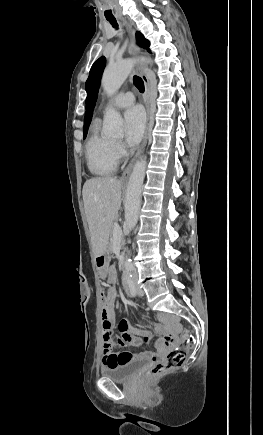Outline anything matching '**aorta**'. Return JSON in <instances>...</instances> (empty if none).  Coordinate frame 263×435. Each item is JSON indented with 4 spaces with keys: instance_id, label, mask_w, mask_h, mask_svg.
Wrapping results in <instances>:
<instances>
[{
    "instance_id": "obj_1",
    "label": "aorta",
    "mask_w": 263,
    "mask_h": 435,
    "mask_svg": "<svg viewBox=\"0 0 263 435\" xmlns=\"http://www.w3.org/2000/svg\"><path fill=\"white\" fill-rule=\"evenodd\" d=\"M147 63L149 59H144ZM135 61L133 59H125L113 66L105 69L101 84L103 89L109 94L113 95L121 87L128 75L131 73ZM103 132L107 136H122L123 135V120L120 114L114 109H108L106 111L103 123ZM146 157L140 158V160L134 165L132 173L129 177L126 200H125V226L128 230H132L138 221L141 192L143 187V181L146 170ZM126 272H129L132 268V262L130 259L125 261Z\"/></svg>"
}]
</instances>
